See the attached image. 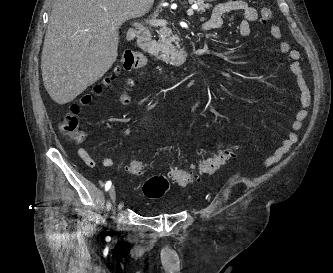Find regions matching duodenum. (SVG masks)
<instances>
[{
  "instance_id": "1",
  "label": "duodenum",
  "mask_w": 333,
  "mask_h": 273,
  "mask_svg": "<svg viewBox=\"0 0 333 273\" xmlns=\"http://www.w3.org/2000/svg\"><path fill=\"white\" fill-rule=\"evenodd\" d=\"M137 44L138 46L149 53L150 55L154 54V39L153 34L149 29H140L137 31Z\"/></svg>"
}]
</instances>
